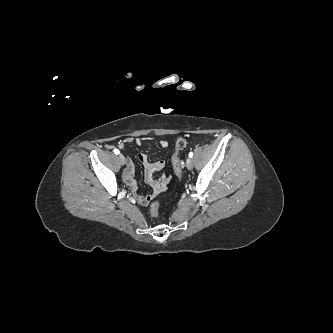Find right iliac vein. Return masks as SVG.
<instances>
[{
  "mask_svg": "<svg viewBox=\"0 0 333 333\" xmlns=\"http://www.w3.org/2000/svg\"><path fill=\"white\" fill-rule=\"evenodd\" d=\"M118 158H119L121 164L124 165L125 164V157H124V155L123 154H119Z\"/></svg>",
  "mask_w": 333,
  "mask_h": 333,
  "instance_id": "obj_1",
  "label": "right iliac vein"
}]
</instances>
